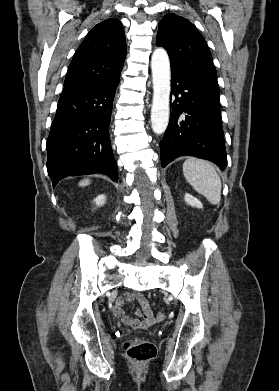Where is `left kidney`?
<instances>
[{
	"label": "left kidney",
	"instance_id": "5707ae66",
	"mask_svg": "<svg viewBox=\"0 0 279 391\" xmlns=\"http://www.w3.org/2000/svg\"><path fill=\"white\" fill-rule=\"evenodd\" d=\"M184 199H185L186 203L192 207H197V208L203 207L202 203L197 198H195L194 196H192L188 193L185 194Z\"/></svg>",
	"mask_w": 279,
	"mask_h": 391
}]
</instances>
